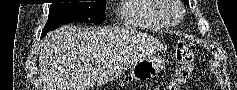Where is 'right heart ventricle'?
<instances>
[{
  "label": "right heart ventricle",
  "instance_id": "e07e8e85",
  "mask_svg": "<svg viewBox=\"0 0 237 90\" xmlns=\"http://www.w3.org/2000/svg\"><path fill=\"white\" fill-rule=\"evenodd\" d=\"M124 6L117 7V14L121 15L120 21L123 28L137 29H168L161 18L149 17L157 14H170L171 2L161 0H123ZM113 63V62H112ZM132 63V62H129ZM130 68V67H129Z\"/></svg>",
  "mask_w": 237,
  "mask_h": 90
}]
</instances>
